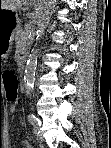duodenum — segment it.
<instances>
[{
  "instance_id": "duodenum-1",
  "label": "duodenum",
  "mask_w": 111,
  "mask_h": 148,
  "mask_svg": "<svg viewBox=\"0 0 111 148\" xmlns=\"http://www.w3.org/2000/svg\"><path fill=\"white\" fill-rule=\"evenodd\" d=\"M20 62L22 64V69H23L26 63V57L24 55L20 54Z\"/></svg>"
}]
</instances>
